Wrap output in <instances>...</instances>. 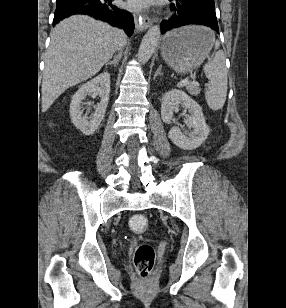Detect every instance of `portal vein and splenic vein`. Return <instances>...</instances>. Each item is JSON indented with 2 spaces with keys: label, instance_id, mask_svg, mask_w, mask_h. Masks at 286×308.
Segmentation results:
<instances>
[{
  "label": "portal vein and splenic vein",
  "instance_id": "1",
  "mask_svg": "<svg viewBox=\"0 0 286 308\" xmlns=\"http://www.w3.org/2000/svg\"><path fill=\"white\" fill-rule=\"evenodd\" d=\"M191 84H192V82H190L189 77H187V78H185V79H183L179 82V87H184L186 85L188 86V85H191ZM195 86H197V84Z\"/></svg>",
  "mask_w": 286,
  "mask_h": 308
}]
</instances>
